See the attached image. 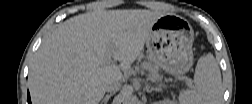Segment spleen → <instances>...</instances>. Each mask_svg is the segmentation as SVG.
Wrapping results in <instances>:
<instances>
[{"label": "spleen", "mask_w": 252, "mask_h": 104, "mask_svg": "<svg viewBox=\"0 0 252 104\" xmlns=\"http://www.w3.org/2000/svg\"><path fill=\"white\" fill-rule=\"evenodd\" d=\"M223 95L222 78L214 56L209 53L199 58L194 74V85L182 91V104H219Z\"/></svg>", "instance_id": "obj_1"}]
</instances>
